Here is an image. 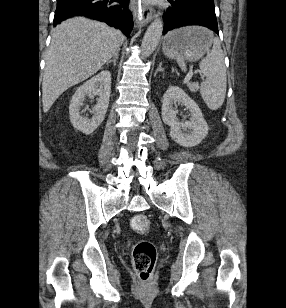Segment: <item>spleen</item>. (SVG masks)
Wrapping results in <instances>:
<instances>
[{
  "label": "spleen",
  "mask_w": 286,
  "mask_h": 308,
  "mask_svg": "<svg viewBox=\"0 0 286 308\" xmlns=\"http://www.w3.org/2000/svg\"><path fill=\"white\" fill-rule=\"evenodd\" d=\"M177 62L186 71L183 59L177 58ZM199 67L206 77L200 86L201 97L210 110H217L223 105L227 87L224 54L219 39H213V47L201 60Z\"/></svg>",
  "instance_id": "spleen-1"
}]
</instances>
